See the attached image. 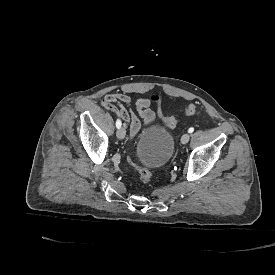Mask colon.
Returning a JSON list of instances; mask_svg holds the SVG:
<instances>
[{"label": "colon", "mask_w": 275, "mask_h": 275, "mask_svg": "<svg viewBox=\"0 0 275 275\" xmlns=\"http://www.w3.org/2000/svg\"><path fill=\"white\" fill-rule=\"evenodd\" d=\"M146 99L148 100V102L150 104H154V109L156 111H158V114H159L158 119L162 126H164L166 128H172L177 124L178 119L176 117H173V116L165 117V116L160 115L161 114V111H160L161 103L164 100V97L162 95H160L158 93H151L146 96ZM187 114L197 115V116H202V117L205 116L204 111L197 106H190L188 108ZM132 165L137 170L139 182H141L143 184H147L151 181L152 174L146 165L137 164V163H133Z\"/></svg>", "instance_id": "colon-1"}]
</instances>
